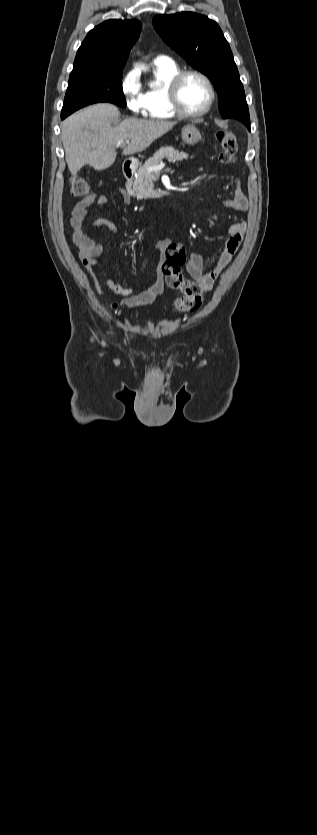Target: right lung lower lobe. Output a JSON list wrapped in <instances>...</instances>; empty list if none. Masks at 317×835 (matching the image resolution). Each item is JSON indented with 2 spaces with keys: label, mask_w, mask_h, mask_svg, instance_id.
<instances>
[{
  "label": "right lung lower lobe",
  "mask_w": 317,
  "mask_h": 835,
  "mask_svg": "<svg viewBox=\"0 0 317 835\" xmlns=\"http://www.w3.org/2000/svg\"><path fill=\"white\" fill-rule=\"evenodd\" d=\"M65 117H67V116L61 115V119H64Z\"/></svg>",
  "instance_id": "1"
}]
</instances>
